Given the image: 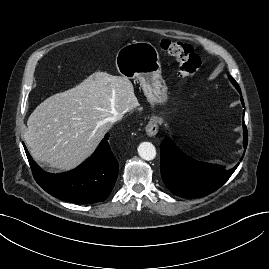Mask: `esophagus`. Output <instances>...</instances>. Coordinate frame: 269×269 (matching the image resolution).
I'll return each instance as SVG.
<instances>
[{"label":"esophagus","instance_id":"obj_1","mask_svg":"<svg viewBox=\"0 0 269 269\" xmlns=\"http://www.w3.org/2000/svg\"><path fill=\"white\" fill-rule=\"evenodd\" d=\"M158 122L155 118L150 119L146 126V133L149 137H153L158 132Z\"/></svg>","mask_w":269,"mask_h":269}]
</instances>
